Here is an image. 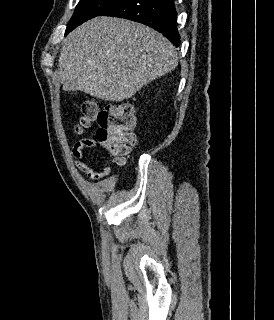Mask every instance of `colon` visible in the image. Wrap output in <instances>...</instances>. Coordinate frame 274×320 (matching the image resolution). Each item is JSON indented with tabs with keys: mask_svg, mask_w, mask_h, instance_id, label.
Masks as SVG:
<instances>
[{
	"mask_svg": "<svg viewBox=\"0 0 274 320\" xmlns=\"http://www.w3.org/2000/svg\"><path fill=\"white\" fill-rule=\"evenodd\" d=\"M78 111L75 133L83 134L95 122L97 128L91 137V143L108 149L113 162L123 164L136 142L133 133L136 124L134 108L122 103L99 106L89 100L81 102Z\"/></svg>",
	"mask_w": 274,
	"mask_h": 320,
	"instance_id": "5ec220e1",
	"label": "colon"
}]
</instances>
